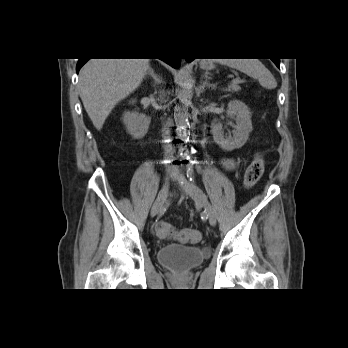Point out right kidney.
<instances>
[{
  "instance_id": "obj_1",
  "label": "right kidney",
  "mask_w": 348,
  "mask_h": 348,
  "mask_svg": "<svg viewBox=\"0 0 348 348\" xmlns=\"http://www.w3.org/2000/svg\"><path fill=\"white\" fill-rule=\"evenodd\" d=\"M135 101L133 100L132 103ZM150 117L138 112H126L123 116V123L127 132L135 139L143 138L148 132Z\"/></svg>"
}]
</instances>
